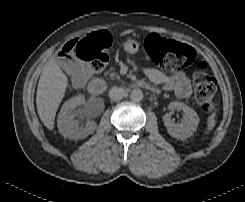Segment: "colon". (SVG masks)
<instances>
[{
  "label": "colon",
  "instance_id": "1",
  "mask_svg": "<svg viewBox=\"0 0 245 202\" xmlns=\"http://www.w3.org/2000/svg\"><path fill=\"white\" fill-rule=\"evenodd\" d=\"M111 39L108 35L97 33L86 38H77L65 44L59 56L66 62L72 79L82 74L83 67L78 60L84 61L90 71L102 69L109 60ZM143 46L149 60L166 72H175L190 67L196 61V51L188 44L161 40L156 35H148ZM194 98L200 109L209 113L213 110L216 80L202 68L194 74Z\"/></svg>",
  "mask_w": 245,
  "mask_h": 202
}]
</instances>
